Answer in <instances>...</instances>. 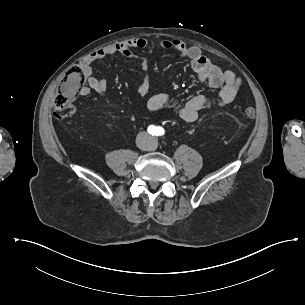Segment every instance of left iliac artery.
<instances>
[{
    "instance_id": "obj_1",
    "label": "left iliac artery",
    "mask_w": 305,
    "mask_h": 305,
    "mask_svg": "<svg viewBox=\"0 0 305 305\" xmlns=\"http://www.w3.org/2000/svg\"><path fill=\"white\" fill-rule=\"evenodd\" d=\"M165 131L161 127H157V136H162L164 135Z\"/></svg>"
}]
</instances>
